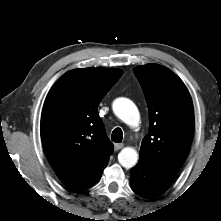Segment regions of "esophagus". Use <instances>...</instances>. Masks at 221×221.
Segmentation results:
<instances>
[{"instance_id":"1","label":"esophagus","mask_w":221,"mask_h":221,"mask_svg":"<svg viewBox=\"0 0 221 221\" xmlns=\"http://www.w3.org/2000/svg\"><path fill=\"white\" fill-rule=\"evenodd\" d=\"M123 147H124V144H123V143H116V144L114 145V149H115L116 151L122 149Z\"/></svg>"}]
</instances>
